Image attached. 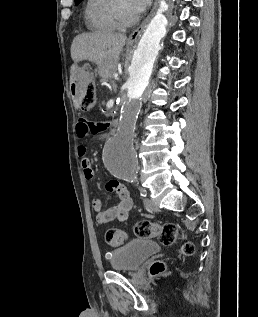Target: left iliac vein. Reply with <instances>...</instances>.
Returning <instances> with one entry per match:
<instances>
[{
  "label": "left iliac vein",
  "mask_w": 258,
  "mask_h": 317,
  "mask_svg": "<svg viewBox=\"0 0 258 317\" xmlns=\"http://www.w3.org/2000/svg\"><path fill=\"white\" fill-rule=\"evenodd\" d=\"M143 201L145 203V206L147 209H149L150 211L153 212H158V207L156 206V204L151 200L150 197L147 196H143Z\"/></svg>",
  "instance_id": "obj_1"
}]
</instances>
